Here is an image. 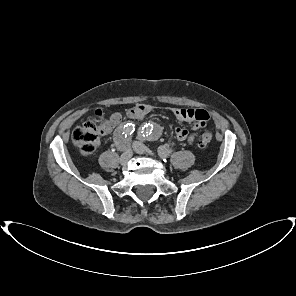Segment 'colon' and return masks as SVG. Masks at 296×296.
<instances>
[{"mask_svg": "<svg viewBox=\"0 0 296 296\" xmlns=\"http://www.w3.org/2000/svg\"><path fill=\"white\" fill-rule=\"evenodd\" d=\"M105 133V120L102 111H97L96 119L84 122L74 129L72 142L82 155L92 154L99 145L100 136ZM211 133L205 132L201 135L199 145L205 147L212 141Z\"/></svg>", "mask_w": 296, "mask_h": 296, "instance_id": "obj_1", "label": "colon"}]
</instances>
